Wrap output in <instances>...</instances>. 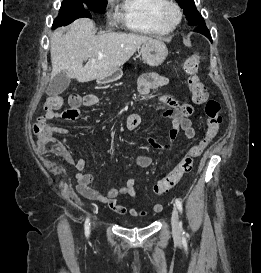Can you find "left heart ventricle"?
<instances>
[{"mask_svg": "<svg viewBox=\"0 0 261 273\" xmlns=\"http://www.w3.org/2000/svg\"><path fill=\"white\" fill-rule=\"evenodd\" d=\"M174 16H175V14H174L173 11H170V12L168 13V18H169L170 20H172V19L174 18Z\"/></svg>", "mask_w": 261, "mask_h": 273, "instance_id": "b2bd125f", "label": "left heart ventricle"}]
</instances>
